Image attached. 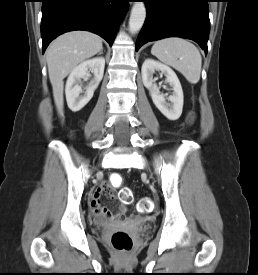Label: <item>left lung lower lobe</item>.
<instances>
[{"label":"left lung lower lobe","mask_w":258,"mask_h":275,"mask_svg":"<svg viewBox=\"0 0 258 275\" xmlns=\"http://www.w3.org/2000/svg\"><path fill=\"white\" fill-rule=\"evenodd\" d=\"M147 16L136 51L145 43L166 37L194 40L207 53L210 31L209 0H144Z\"/></svg>","instance_id":"1"}]
</instances>
